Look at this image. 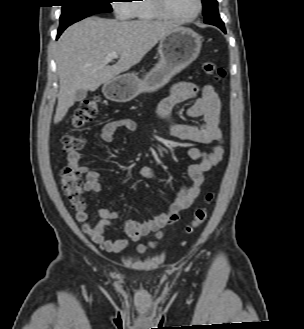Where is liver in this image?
<instances>
[{
	"instance_id": "obj_1",
	"label": "liver",
	"mask_w": 304,
	"mask_h": 329,
	"mask_svg": "<svg viewBox=\"0 0 304 329\" xmlns=\"http://www.w3.org/2000/svg\"><path fill=\"white\" fill-rule=\"evenodd\" d=\"M177 27L170 22L99 17H89L68 27L56 47L60 90L54 123L62 121L73 106L77 90L95 91L129 70ZM110 53L120 56L112 66L104 62Z\"/></svg>"
}]
</instances>
